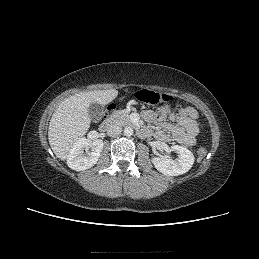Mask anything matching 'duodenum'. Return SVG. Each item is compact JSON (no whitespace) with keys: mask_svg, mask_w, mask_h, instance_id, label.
Returning <instances> with one entry per match:
<instances>
[{"mask_svg":"<svg viewBox=\"0 0 259 259\" xmlns=\"http://www.w3.org/2000/svg\"><path fill=\"white\" fill-rule=\"evenodd\" d=\"M113 119L112 118H106L99 126V129L101 132H105L109 130L113 126ZM140 133H145V131L141 130Z\"/></svg>","mask_w":259,"mask_h":259,"instance_id":"1","label":"duodenum"}]
</instances>
